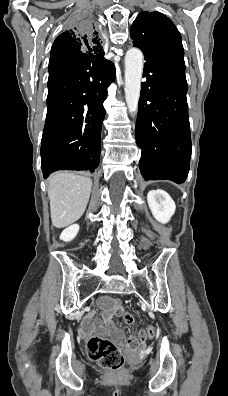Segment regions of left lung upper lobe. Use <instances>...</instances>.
I'll return each mask as SVG.
<instances>
[{"mask_svg": "<svg viewBox=\"0 0 228 396\" xmlns=\"http://www.w3.org/2000/svg\"><path fill=\"white\" fill-rule=\"evenodd\" d=\"M130 36L133 46L171 60L185 70L181 35L164 14L157 11L139 13L131 27Z\"/></svg>", "mask_w": 228, "mask_h": 396, "instance_id": "5c2ea615", "label": "left lung upper lobe"}]
</instances>
